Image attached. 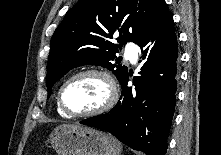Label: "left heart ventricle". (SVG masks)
I'll return each mask as SVG.
<instances>
[{"instance_id":"b2bd125f","label":"left heart ventricle","mask_w":221,"mask_h":155,"mask_svg":"<svg viewBox=\"0 0 221 155\" xmlns=\"http://www.w3.org/2000/svg\"><path fill=\"white\" fill-rule=\"evenodd\" d=\"M107 98L104 80L95 75H87L73 80L64 90L63 100L73 112H87L101 106Z\"/></svg>"}]
</instances>
